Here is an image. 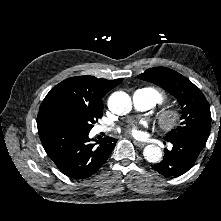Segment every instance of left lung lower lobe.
I'll list each match as a JSON object with an SVG mask.
<instances>
[{
  "label": "left lung lower lobe",
  "instance_id": "0a47b994",
  "mask_svg": "<svg viewBox=\"0 0 221 221\" xmlns=\"http://www.w3.org/2000/svg\"><path fill=\"white\" fill-rule=\"evenodd\" d=\"M208 137L209 132L198 131L168 139L173 144L172 150H165L163 160L152 168L165 177L183 175L195 164Z\"/></svg>",
  "mask_w": 221,
  "mask_h": 221
}]
</instances>
